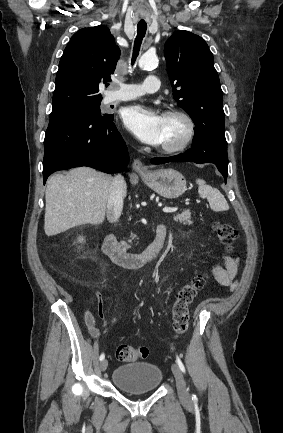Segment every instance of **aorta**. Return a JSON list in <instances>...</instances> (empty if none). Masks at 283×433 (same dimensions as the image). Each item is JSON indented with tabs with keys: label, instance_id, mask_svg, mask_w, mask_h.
Here are the masks:
<instances>
[{
	"label": "aorta",
	"instance_id": "1",
	"mask_svg": "<svg viewBox=\"0 0 283 433\" xmlns=\"http://www.w3.org/2000/svg\"><path fill=\"white\" fill-rule=\"evenodd\" d=\"M138 65L144 70L154 68L158 65V57L156 54L146 52L140 57Z\"/></svg>",
	"mask_w": 283,
	"mask_h": 433
}]
</instances>
